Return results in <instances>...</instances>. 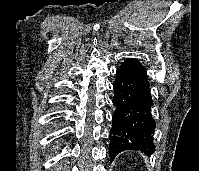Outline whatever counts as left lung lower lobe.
I'll list each match as a JSON object with an SVG mask.
<instances>
[{
    "label": "left lung lower lobe",
    "instance_id": "1",
    "mask_svg": "<svg viewBox=\"0 0 199 171\" xmlns=\"http://www.w3.org/2000/svg\"><path fill=\"white\" fill-rule=\"evenodd\" d=\"M109 156L113 160L125 150H139L145 154L155 151L153 133L156 123L151 115L153 101L146 69L136 59H126L116 72Z\"/></svg>",
    "mask_w": 199,
    "mask_h": 171
}]
</instances>
